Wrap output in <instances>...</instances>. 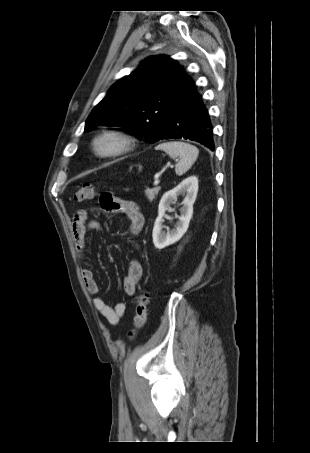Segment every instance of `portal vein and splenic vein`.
Listing matches in <instances>:
<instances>
[{
    "instance_id": "portal-vein-and-splenic-vein-1",
    "label": "portal vein and splenic vein",
    "mask_w": 310,
    "mask_h": 453,
    "mask_svg": "<svg viewBox=\"0 0 310 453\" xmlns=\"http://www.w3.org/2000/svg\"><path fill=\"white\" fill-rule=\"evenodd\" d=\"M160 183L159 175L155 176L154 185L157 186Z\"/></svg>"
}]
</instances>
